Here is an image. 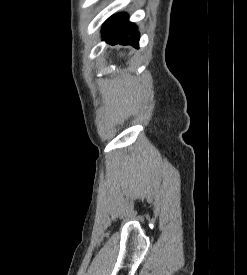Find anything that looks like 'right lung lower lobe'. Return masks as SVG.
<instances>
[{
	"instance_id": "1",
	"label": "right lung lower lobe",
	"mask_w": 247,
	"mask_h": 275,
	"mask_svg": "<svg viewBox=\"0 0 247 275\" xmlns=\"http://www.w3.org/2000/svg\"><path fill=\"white\" fill-rule=\"evenodd\" d=\"M103 40L111 44L139 46V35L136 26L128 21V16L119 13L109 18L103 25Z\"/></svg>"
}]
</instances>
